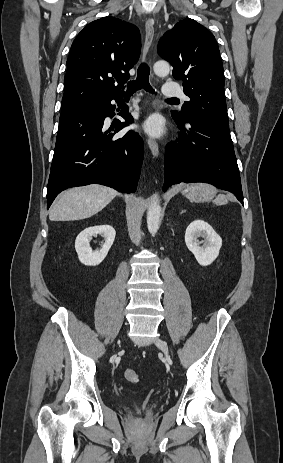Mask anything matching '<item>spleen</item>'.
Listing matches in <instances>:
<instances>
[{
	"label": "spleen",
	"instance_id": "3e777b00",
	"mask_svg": "<svg viewBox=\"0 0 283 463\" xmlns=\"http://www.w3.org/2000/svg\"><path fill=\"white\" fill-rule=\"evenodd\" d=\"M215 194H216V190H215V192L212 194V196H211L210 199H212V198L215 196ZM216 201H217V202L225 203V202H227V199H226V197H225L223 194H220V195L216 198Z\"/></svg>",
	"mask_w": 283,
	"mask_h": 463
}]
</instances>
